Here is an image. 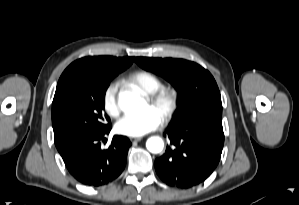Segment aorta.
Segmentation results:
<instances>
[{"mask_svg":"<svg viewBox=\"0 0 299 205\" xmlns=\"http://www.w3.org/2000/svg\"><path fill=\"white\" fill-rule=\"evenodd\" d=\"M118 105L125 113H137L143 105V100L137 93L123 91L119 94ZM146 147L151 153H160L164 148V142L160 137L153 136L147 140Z\"/></svg>","mask_w":299,"mask_h":205,"instance_id":"aorta-1","label":"aorta"}]
</instances>
